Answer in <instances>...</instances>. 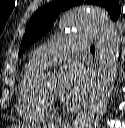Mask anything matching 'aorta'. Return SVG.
I'll return each mask as SVG.
<instances>
[{
  "label": "aorta",
  "mask_w": 125,
  "mask_h": 128,
  "mask_svg": "<svg viewBox=\"0 0 125 128\" xmlns=\"http://www.w3.org/2000/svg\"><path fill=\"white\" fill-rule=\"evenodd\" d=\"M60 25L68 31H87L94 37L99 49V73L86 105L79 113L73 128H96L107 109L117 71L120 39L108 14L101 8L83 5L66 12ZM43 77L44 84L49 83Z\"/></svg>",
  "instance_id": "aorta-1"
}]
</instances>
